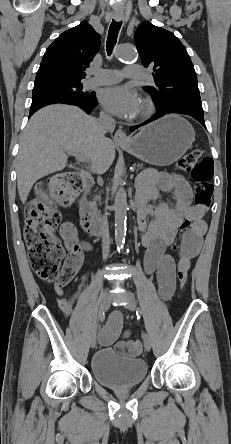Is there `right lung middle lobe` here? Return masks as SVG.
I'll use <instances>...</instances> for the list:
<instances>
[{"mask_svg":"<svg viewBox=\"0 0 231 444\" xmlns=\"http://www.w3.org/2000/svg\"><path fill=\"white\" fill-rule=\"evenodd\" d=\"M82 83H57L33 89L32 102L44 98H61L74 101H90L95 98L94 93L82 91Z\"/></svg>","mask_w":231,"mask_h":444,"instance_id":"1","label":"right lung middle lobe"}]
</instances>
